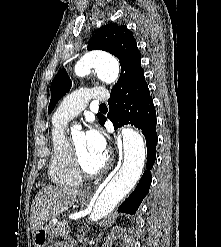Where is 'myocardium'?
<instances>
[{"label": "myocardium", "mask_w": 221, "mask_h": 247, "mask_svg": "<svg viewBox=\"0 0 221 247\" xmlns=\"http://www.w3.org/2000/svg\"><path fill=\"white\" fill-rule=\"evenodd\" d=\"M69 147H70V152H71V157H72V160H73V164H74V167L77 171V173L81 176V177H84V178H94V177H97L99 176L100 174H102L109 166V163H110V156L109 154H105V157H104V160L102 162V164L94 171H88L83 163H82V160L79 156V153L77 151V148H76V145H75V142H74V139L71 138L69 140Z\"/></svg>", "instance_id": "obj_1"}]
</instances>
